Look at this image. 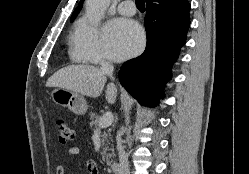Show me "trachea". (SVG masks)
Returning a JSON list of instances; mask_svg holds the SVG:
<instances>
[{"label":"trachea","instance_id":"1","mask_svg":"<svg viewBox=\"0 0 249 174\" xmlns=\"http://www.w3.org/2000/svg\"><path fill=\"white\" fill-rule=\"evenodd\" d=\"M136 7L139 9V10H144L145 9V2L144 0H136Z\"/></svg>","mask_w":249,"mask_h":174}]
</instances>
